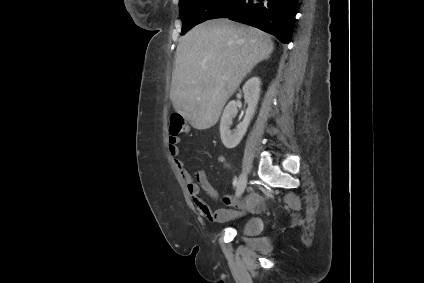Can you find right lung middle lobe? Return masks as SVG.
I'll return each instance as SVG.
<instances>
[{
	"instance_id": "right-lung-middle-lobe-1",
	"label": "right lung middle lobe",
	"mask_w": 424,
	"mask_h": 283,
	"mask_svg": "<svg viewBox=\"0 0 424 283\" xmlns=\"http://www.w3.org/2000/svg\"><path fill=\"white\" fill-rule=\"evenodd\" d=\"M229 0H180V16L182 19L181 35L195 25L208 20Z\"/></svg>"
}]
</instances>
